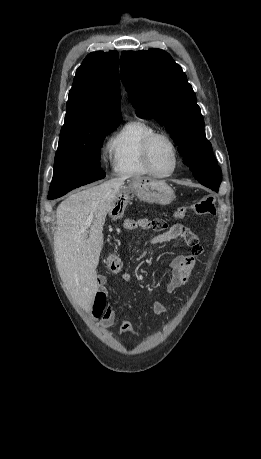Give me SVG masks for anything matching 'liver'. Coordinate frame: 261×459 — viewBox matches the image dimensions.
Listing matches in <instances>:
<instances>
[{
    "instance_id": "6515ba94",
    "label": "liver",
    "mask_w": 261,
    "mask_h": 459,
    "mask_svg": "<svg viewBox=\"0 0 261 459\" xmlns=\"http://www.w3.org/2000/svg\"><path fill=\"white\" fill-rule=\"evenodd\" d=\"M127 177L108 180L68 196L56 211L54 251L57 269L67 290L84 310H90L98 291L96 268L103 247L107 213ZM93 215L90 230L86 219Z\"/></svg>"
}]
</instances>
